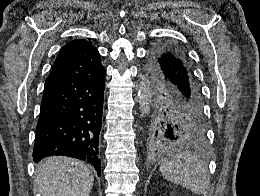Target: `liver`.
I'll use <instances>...</instances> for the list:
<instances>
[{
	"label": "liver",
	"instance_id": "1",
	"mask_svg": "<svg viewBox=\"0 0 260 196\" xmlns=\"http://www.w3.org/2000/svg\"><path fill=\"white\" fill-rule=\"evenodd\" d=\"M35 190L41 196H89L94 176L81 160L52 156L36 170Z\"/></svg>",
	"mask_w": 260,
	"mask_h": 196
}]
</instances>
